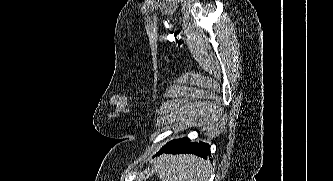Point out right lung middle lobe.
Returning <instances> with one entry per match:
<instances>
[{"instance_id": "dd1d6c3e", "label": "right lung middle lobe", "mask_w": 333, "mask_h": 181, "mask_svg": "<svg viewBox=\"0 0 333 181\" xmlns=\"http://www.w3.org/2000/svg\"><path fill=\"white\" fill-rule=\"evenodd\" d=\"M178 140H179V139H178ZM178 140H177V139H176V140H172V141L168 142L165 146H169V145L175 143V142L178 141Z\"/></svg>"}]
</instances>
